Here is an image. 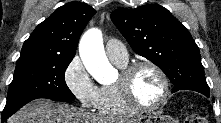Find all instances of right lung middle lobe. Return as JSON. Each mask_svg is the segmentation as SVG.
<instances>
[{
    "instance_id": "obj_1",
    "label": "right lung middle lobe",
    "mask_w": 221,
    "mask_h": 123,
    "mask_svg": "<svg viewBox=\"0 0 221 123\" xmlns=\"http://www.w3.org/2000/svg\"><path fill=\"white\" fill-rule=\"evenodd\" d=\"M74 56L57 54H21L16 62L13 81L9 85L2 117L11 116L28 102L46 98L74 100L65 83L64 74Z\"/></svg>"
}]
</instances>
